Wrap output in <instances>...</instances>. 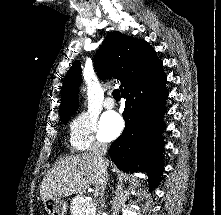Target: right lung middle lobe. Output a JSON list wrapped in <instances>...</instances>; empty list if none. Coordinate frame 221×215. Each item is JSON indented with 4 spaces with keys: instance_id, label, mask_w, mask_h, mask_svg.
<instances>
[{
    "instance_id": "right-lung-middle-lobe-1",
    "label": "right lung middle lobe",
    "mask_w": 221,
    "mask_h": 215,
    "mask_svg": "<svg viewBox=\"0 0 221 215\" xmlns=\"http://www.w3.org/2000/svg\"><path fill=\"white\" fill-rule=\"evenodd\" d=\"M68 118H69V117L62 118L61 120H62L63 122H65V123H66V122L68 121Z\"/></svg>"
}]
</instances>
